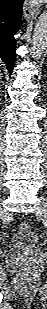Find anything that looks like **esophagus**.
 <instances>
[{
    "instance_id": "34e87169",
    "label": "esophagus",
    "mask_w": 47,
    "mask_h": 309,
    "mask_svg": "<svg viewBox=\"0 0 47 309\" xmlns=\"http://www.w3.org/2000/svg\"><path fill=\"white\" fill-rule=\"evenodd\" d=\"M38 14V8L34 7V5L28 1L27 6L24 8V17L26 19H33Z\"/></svg>"
}]
</instances>
